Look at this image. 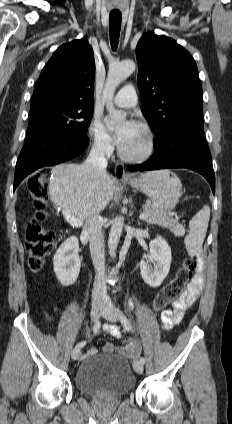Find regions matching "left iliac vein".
<instances>
[{
  "instance_id": "obj_1",
  "label": "left iliac vein",
  "mask_w": 232,
  "mask_h": 424,
  "mask_svg": "<svg viewBox=\"0 0 232 424\" xmlns=\"http://www.w3.org/2000/svg\"><path fill=\"white\" fill-rule=\"evenodd\" d=\"M102 316L110 322L119 320L120 313L110 302L104 305ZM133 368L136 373L141 374L143 372V364L140 361L135 360L133 362Z\"/></svg>"
}]
</instances>
